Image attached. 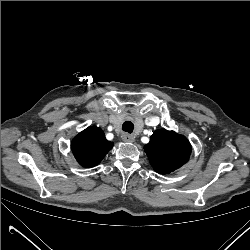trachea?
I'll return each mask as SVG.
<instances>
[{"instance_id":"obj_1","label":"trachea","mask_w":250,"mask_h":250,"mask_svg":"<svg viewBox=\"0 0 250 250\" xmlns=\"http://www.w3.org/2000/svg\"><path fill=\"white\" fill-rule=\"evenodd\" d=\"M122 129L125 132L132 133L134 129V124L131 121H125L122 125Z\"/></svg>"}]
</instances>
